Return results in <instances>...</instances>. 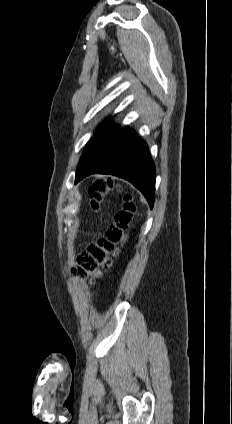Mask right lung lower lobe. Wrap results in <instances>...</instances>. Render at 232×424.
<instances>
[{
	"label": "right lung lower lobe",
	"mask_w": 232,
	"mask_h": 424,
	"mask_svg": "<svg viewBox=\"0 0 232 424\" xmlns=\"http://www.w3.org/2000/svg\"><path fill=\"white\" fill-rule=\"evenodd\" d=\"M111 174L131 182L147 199L150 208L154 204L155 166L145 141L130 128L116 131L100 152L76 176L75 183L93 174Z\"/></svg>",
	"instance_id": "1"
}]
</instances>
